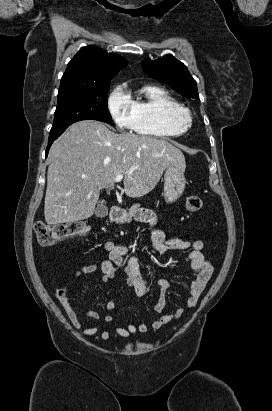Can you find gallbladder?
Listing matches in <instances>:
<instances>
[{"label":"gallbladder","instance_id":"1","mask_svg":"<svg viewBox=\"0 0 272 411\" xmlns=\"http://www.w3.org/2000/svg\"><path fill=\"white\" fill-rule=\"evenodd\" d=\"M95 215L98 218H104L108 215V208L105 205L104 200H101L98 205L97 208L95 209Z\"/></svg>","mask_w":272,"mask_h":411}]
</instances>
